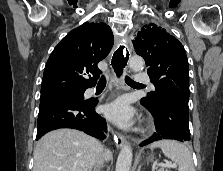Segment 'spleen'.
<instances>
[{"label":"spleen","instance_id":"3e777b00","mask_svg":"<svg viewBox=\"0 0 223 171\" xmlns=\"http://www.w3.org/2000/svg\"><path fill=\"white\" fill-rule=\"evenodd\" d=\"M160 147L163 154L178 165L179 171H196L192 154L183 144L174 140H162L155 142L151 148Z\"/></svg>","mask_w":223,"mask_h":171}]
</instances>
